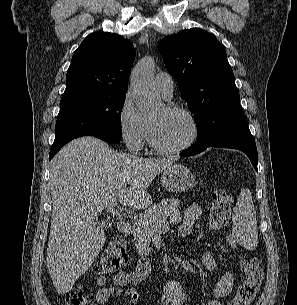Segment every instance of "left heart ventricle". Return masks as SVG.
Returning <instances> with one entry per match:
<instances>
[{
    "label": "left heart ventricle",
    "instance_id": "left-heart-ventricle-1",
    "mask_svg": "<svg viewBox=\"0 0 297 305\" xmlns=\"http://www.w3.org/2000/svg\"><path fill=\"white\" fill-rule=\"evenodd\" d=\"M150 122L157 142L166 148L184 144L192 133L191 124L184 115L168 112L165 108L157 111Z\"/></svg>",
    "mask_w": 297,
    "mask_h": 305
}]
</instances>
